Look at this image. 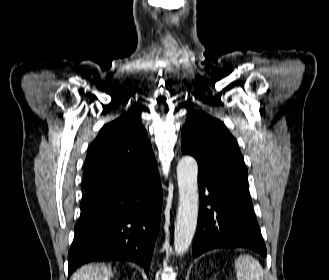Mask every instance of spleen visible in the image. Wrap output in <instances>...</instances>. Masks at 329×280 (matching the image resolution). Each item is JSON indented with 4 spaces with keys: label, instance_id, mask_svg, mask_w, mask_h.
Here are the masks:
<instances>
[{
    "label": "spleen",
    "instance_id": "1",
    "mask_svg": "<svg viewBox=\"0 0 329 280\" xmlns=\"http://www.w3.org/2000/svg\"><path fill=\"white\" fill-rule=\"evenodd\" d=\"M238 280H263V269L254 258L241 255L235 260Z\"/></svg>",
    "mask_w": 329,
    "mask_h": 280
}]
</instances>
